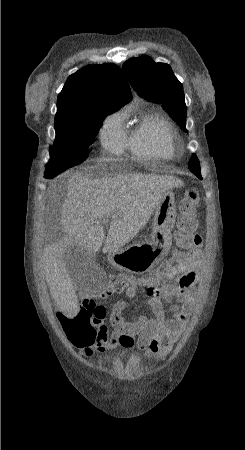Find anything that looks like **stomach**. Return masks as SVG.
<instances>
[{"mask_svg":"<svg viewBox=\"0 0 245 450\" xmlns=\"http://www.w3.org/2000/svg\"><path fill=\"white\" fill-rule=\"evenodd\" d=\"M176 215L175 196L170 189L164 193L155 209L151 239L109 252V262L132 274H143L154 269L170 251Z\"/></svg>","mask_w":245,"mask_h":450,"instance_id":"stomach-1","label":"stomach"}]
</instances>
